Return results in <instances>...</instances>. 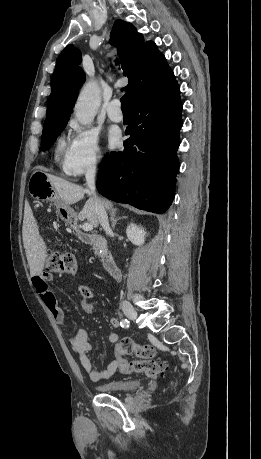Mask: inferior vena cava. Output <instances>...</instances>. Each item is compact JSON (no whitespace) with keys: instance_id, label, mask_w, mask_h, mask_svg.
Returning a JSON list of instances; mask_svg holds the SVG:
<instances>
[{"instance_id":"inferior-vena-cava-1","label":"inferior vena cava","mask_w":261,"mask_h":459,"mask_svg":"<svg viewBox=\"0 0 261 459\" xmlns=\"http://www.w3.org/2000/svg\"><path fill=\"white\" fill-rule=\"evenodd\" d=\"M95 174H96V162L92 163L86 173V182L88 186V190L91 194V198L94 202L95 213L97 218L106 231V233H110L111 229L109 227L108 216L103 205L102 200L97 196L95 192Z\"/></svg>"}]
</instances>
